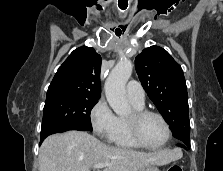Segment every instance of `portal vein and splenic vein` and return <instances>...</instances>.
I'll return each instance as SVG.
<instances>
[{"label":"portal vein and splenic vein","mask_w":223,"mask_h":171,"mask_svg":"<svg viewBox=\"0 0 223 171\" xmlns=\"http://www.w3.org/2000/svg\"><path fill=\"white\" fill-rule=\"evenodd\" d=\"M105 167H106V164H104V163L93 165V168H96V169H102V168H105Z\"/></svg>","instance_id":"1"}]
</instances>
